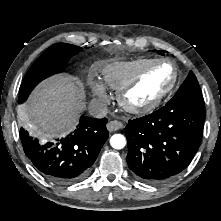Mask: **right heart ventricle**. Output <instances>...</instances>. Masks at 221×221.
Here are the masks:
<instances>
[{"label": "right heart ventricle", "mask_w": 221, "mask_h": 221, "mask_svg": "<svg viewBox=\"0 0 221 221\" xmlns=\"http://www.w3.org/2000/svg\"><path fill=\"white\" fill-rule=\"evenodd\" d=\"M151 60L149 58H138L130 61L108 63L101 70L102 83L106 87L118 90Z\"/></svg>", "instance_id": "e07e8e85"}]
</instances>
